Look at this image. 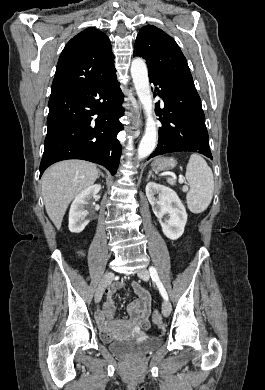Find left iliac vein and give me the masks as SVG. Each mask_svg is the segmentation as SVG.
<instances>
[{
	"instance_id": "1",
	"label": "left iliac vein",
	"mask_w": 265,
	"mask_h": 390,
	"mask_svg": "<svg viewBox=\"0 0 265 390\" xmlns=\"http://www.w3.org/2000/svg\"><path fill=\"white\" fill-rule=\"evenodd\" d=\"M138 276L142 280L147 281L149 279V271L146 268H143L138 272ZM170 312H171V304L168 300H164L162 304V314L165 317H167L169 316Z\"/></svg>"
}]
</instances>
